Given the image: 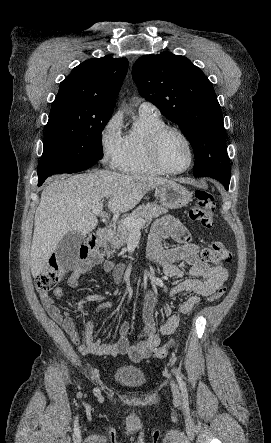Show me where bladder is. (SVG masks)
Returning <instances> with one entry per match:
<instances>
[{
    "instance_id": "31cf9c89",
    "label": "bladder",
    "mask_w": 271,
    "mask_h": 443,
    "mask_svg": "<svg viewBox=\"0 0 271 443\" xmlns=\"http://www.w3.org/2000/svg\"><path fill=\"white\" fill-rule=\"evenodd\" d=\"M113 377L119 384L130 388H141L146 382L145 372L135 365L118 366Z\"/></svg>"
}]
</instances>
